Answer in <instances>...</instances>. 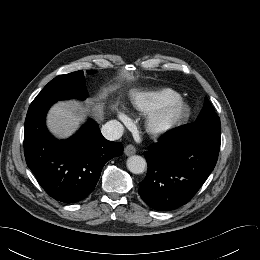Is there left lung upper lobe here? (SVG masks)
<instances>
[{
	"instance_id": "obj_1",
	"label": "left lung upper lobe",
	"mask_w": 260,
	"mask_h": 260,
	"mask_svg": "<svg viewBox=\"0 0 260 260\" xmlns=\"http://www.w3.org/2000/svg\"><path fill=\"white\" fill-rule=\"evenodd\" d=\"M182 130L190 134L209 135L221 138L220 119L208 99L205 100L204 108L196 122L180 126L170 132L175 133Z\"/></svg>"
}]
</instances>
